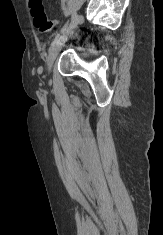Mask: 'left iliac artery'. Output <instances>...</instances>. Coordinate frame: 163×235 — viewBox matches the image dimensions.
<instances>
[{
  "label": "left iliac artery",
  "instance_id": "44dca946",
  "mask_svg": "<svg viewBox=\"0 0 163 235\" xmlns=\"http://www.w3.org/2000/svg\"><path fill=\"white\" fill-rule=\"evenodd\" d=\"M79 22V17L77 15V13H74L72 15V18H71V21L66 23L63 28L61 29V35L57 36L55 38V40L51 43V47L50 49L60 40V39H66V33L69 31V30H72L73 28H75L77 26Z\"/></svg>",
  "mask_w": 163,
  "mask_h": 235
}]
</instances>
